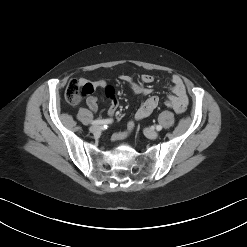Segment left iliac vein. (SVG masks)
Returning <instances> with one entry per match:
<instances>
[{"instance_id":"4c4485c4","label":"left iliac vein","mask_w":247,"mask_h":247,"mask_svg":"<svg viewBox=\"0 0 247 247\" xmlns=\"http://www.w3.org/2000/svg\"><path fill=\"white\" fill-rule=\"evenodd\" d=\"M144 133L145 135L149 138V139H156L158 138L159 134L157 131L149 129V128H145L144 129Z\"/></svg>"}]
</instances>
